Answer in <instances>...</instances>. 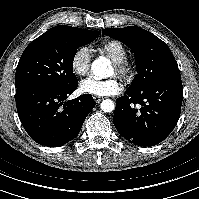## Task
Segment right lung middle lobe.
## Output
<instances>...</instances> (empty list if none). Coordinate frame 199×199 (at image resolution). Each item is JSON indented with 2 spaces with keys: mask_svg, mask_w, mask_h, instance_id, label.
Listing matches in <instances>:
<instances>
[{
  "mask_svg": "<svg viewBox=\"0 0 199 199\" xmlns=\"http://www.w3.org/2000/svg\"><path fill=\"white\" fill-rule=\"evenodd\" d=\"M98 36L95 32H45L24 50L16 69L15 87L64 88L78 83L73 73L74 56L79 47Z\"/></svg>",
  "mask_w": 199,
  "mask_h": 199,
  "instance_id": "right-lung-middle-lobe-1",
  "label": "right lung middle lobe"
}]
</instances>
